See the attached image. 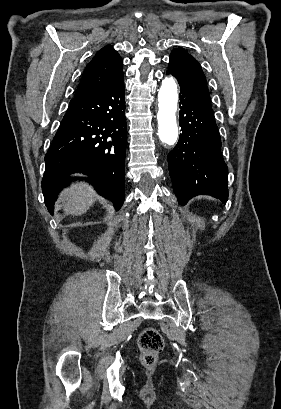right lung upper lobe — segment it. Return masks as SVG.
<instances>
[{
  "instance_id": "1",
  "label": "right lung upper lobe",
  "mask_w": 281,
  "mask_h": 409,
  "mask_svg": "<svg viewBox=\"0 0 281 409\" xmlns=\"http://www.w3.org/2000/svg\"><path fill=\"white\" fill-rule=\"evenodd\" d=\"M122 58L112 46L102 48L85 68L74 98L99 93L123 75Z\"/></svg>"
}]
</instances>
